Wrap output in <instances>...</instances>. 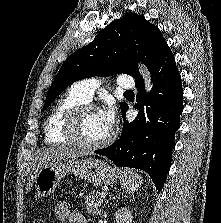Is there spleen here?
<instances>
[{"label": "spleen", "instance_id": "spleen-1", "mask_svg": "<svg viewBox=\"0 0 221 223\" xmlns=\"http://www.w3.org/2000/svg\"><path fill=\"white\" fill-rule=\"evenodd\" d=\"M117 174L126 192L134 193L143 183L142 177L131 169H117Z\"/></svg>", "mask_w": 221, "mask_h": 223}]
</instances>
